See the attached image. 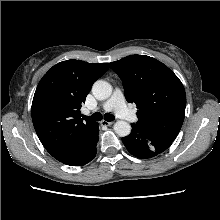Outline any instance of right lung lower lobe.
<instances>
[{"mask_svg":"<svg viewBox=\"0 0 220 220\" xmlns=\"http://www.w3.org/2000/svg\"><path fill=\"white\" fill-rule=\"evenodd\" d=\"M98 128L99 126L97 125L93 132L88 135L69 155L58 161L70 166H82L90 162L96 156Z\"/></svg>","mask_w":220,"mask_h":220,"instance_id":"98d812e1","label":"right lung lower lobe"}]
</instances>
